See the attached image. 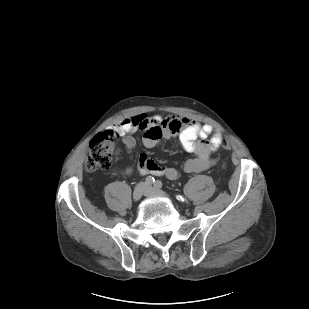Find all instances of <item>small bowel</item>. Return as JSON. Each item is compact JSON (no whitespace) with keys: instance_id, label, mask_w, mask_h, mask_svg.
<instances>
[{"instance_id":"obj_1","label":"small bowel","mask_w":309,"mask_h":309,"mask_svg":"<svg viewBox=\"0 0 309 309\" xmlns=\"http://www.w3.org/2000/svg\"><path fill=\"white\" fill-rule=\"evenodd\" d=\"M137 131L144 132L143 144L147 148L157 146L161 139L177 137L185 151L195 154L183 163L182 169L187 173L201 172L215 165L212 154L220 148V141L223 140L218 129L197 120L178 116H148L145 113L126 118L106 129L105 133L113 139L121 137L127 151L132 152L136 146L133 134ZM138 171L141 175L151 174L171 180L179 176L177 168L159 165L146 155L139 157ZM131 172L130 168L120 171L124 175Z\"/></svg>"}]
</instances>
